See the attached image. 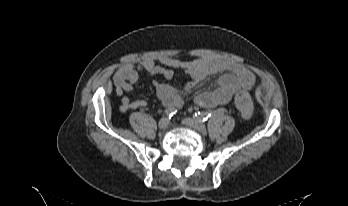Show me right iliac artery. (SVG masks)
<instances>
[{
  "instance_id": "82829eb1",
  "label": "right iliac artery",
  "mask_w": 348,
  "mask_h": 206,
  "mask_svg": "<svg viewBox=\"0 0 348 206\" xmlns=\"http://www.w3.org/2000/svg\"><path fill=\"white\" fill-rule=\"evenodd\" d=\"M176 112H177V110L174 109V108H167V109L165 110V114H166L169 118H171L173 115H175Z\"/></svg>"
}]
</instances>
